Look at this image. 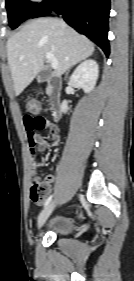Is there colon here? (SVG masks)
I'll list each match as a JSON object with an SVG mask.
<instances>
[{
	"label": "colon",
	"instance_id": "1",
	"mask_svg": "<svg viewBox=\"0 0 134 281\" xmlns=\"http://www.w3.org/2000/svg\"><path fill=\"white\" fill-rule=\"evenodd\" d=\"M27 109L31 113H37L40 110V104L38 101L31 99L27 102ZM48 191L49 186L44 181L34 180L31 182L30 197L33 202L42 203Z\"/></svg>",
	"mask_w": 134,
	"mask_h": 281
}]
</instances>
